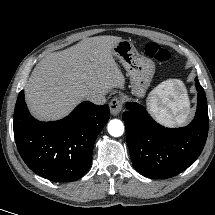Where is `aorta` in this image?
I'll use <instances>...</instances> for the list:
<instances>
[{"instance_id":"aorta-1","label":"aorta","mask_w":215,"mask_h":215,"mask_svg":"<svg viewBox=\"0 0 215 215\" xmlns=\"http://www.w3.org/2000/svg\"><path fill=\"white\" fill-rule=\"evenodd\" d=\"M108 132L113 137H120L124 133V125L118 119H113L108 123Z\"/></svg>"}]
</instances>
